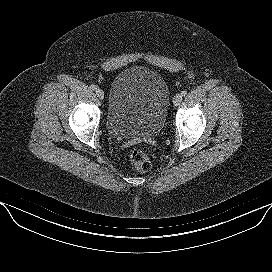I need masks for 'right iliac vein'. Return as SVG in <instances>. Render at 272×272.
<instances>
[{
  "label": "right iliac vein",
  "instance_id": "obj_1",
  "mask_svg": "<svg viewBox=\"0 0 272 272\" xmlns=\"http://www.w3.org/2000/svg\"><path fill=\"white\" fill-rule=\"evenodd\" d=\"M96 95L100 100L104 99V91L102 89H96Z\"/></svg>",
  "mask_w": 272,
  "mask_h": 272
}]
</instances>
